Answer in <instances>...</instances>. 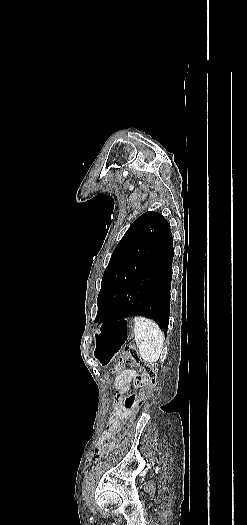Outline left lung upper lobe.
I'll use <instances>...</instances> for the list:
<instances>
[{
    "label": "left lung upper lobe",
    "mask_w": 247,
    "mask_h": 525,
    "mask_svg": "<svg viewBox=\"0 0 247 525\" xmlns=\"http://www.w3.org/2000/svg\"><path fill=\"white\" fill-rule=\"evenodd\" d=\"M169 229L165 218L154 211L139 216L117 244L104 271L95 321L104 317L147 267L149 258Z\"/></svg>",
    "instance_id": "5c2ea615"
}]
</instances>
